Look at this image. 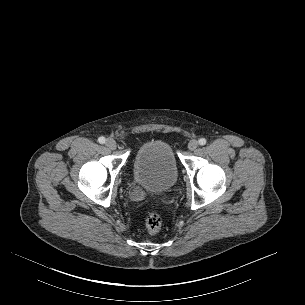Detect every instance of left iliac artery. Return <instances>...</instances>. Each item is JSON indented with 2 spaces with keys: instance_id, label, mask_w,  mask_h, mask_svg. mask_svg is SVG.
Returning a JSON list of instances; mask_svg holds the SVG:
<instances>
[{
  "instance_id": "1",
  "label": "left iliac artery",
  "mask_w": 305,
  "mask_h": 305,
  "mask_svg": "<svg viewBox=\"0 0 305 305\" xmlns=\"http://www.w3.org/2000/svg\"><path fill=\"white\" fill-rule=\"evenodd\" d=\"M198 142H199L200 145L203 146V145L206 144V139L205 138H200Z\"/></svg>"
}]
</instances>
